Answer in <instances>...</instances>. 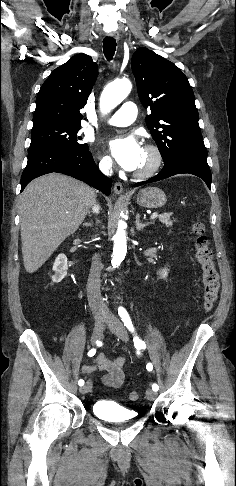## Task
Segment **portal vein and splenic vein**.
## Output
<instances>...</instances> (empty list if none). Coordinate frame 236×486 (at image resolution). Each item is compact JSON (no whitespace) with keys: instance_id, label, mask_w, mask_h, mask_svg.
Returning <instances> with one entry per match:
<instances>
[{"instance_id":"portal-vein-and-splenic-vein-1","label":"portal vein and splenic vein","mask_w":236,"mask_h":486,"mask_svg":"<svg viewBox=\"0 0 236 486\" xmlns=\"http://www.w3.org/2000/svg\"><path fill=\"white\" fill-rule=\"evenodd\" d=\"M157 217H158V213H153V214L151 215V219H156Z\"/></svg>"}]
</instances>
